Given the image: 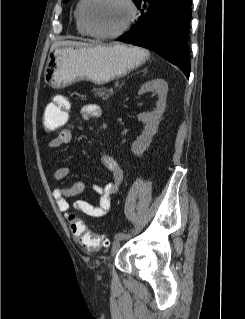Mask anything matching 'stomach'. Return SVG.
<instances>
[{"label":"stomach","instance_id":"0dacf381","mask_svg":"<svg viewBox=\"0 0 245 319\" xmlns=\"http://www.w3.org/2000/svg\"><path fill=\"white\" fill-rule=\"evenodd\" d=\"M147 56L144 49L119 43L61 46L50 53L44 80L56 89L81 80L103 84L139 67Z\"/></svg>","mask_w":245,"mask_h":319}]
</instances>
